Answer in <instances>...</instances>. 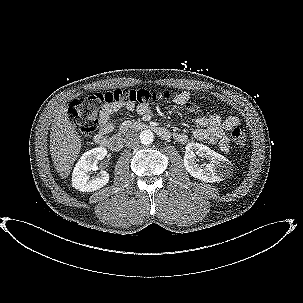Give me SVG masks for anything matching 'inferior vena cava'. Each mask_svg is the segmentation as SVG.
<instances>
[{
    "label": "inferior vena cava",
    "mask_w": 303,
    "mask_h": 303,
    "mask_svg": "<svg viewBox=\"0 0 303 303\" xmlns=\"http://www.w3.org/2000/svg\"><path fill=\"white\" fill-rule=\"evenodd\" d=\"M125 143L128 147H135L138 145V136L134 132H129L125 135Z\"/></svg>",
    "instance_id": "1"
}]
</instances>
